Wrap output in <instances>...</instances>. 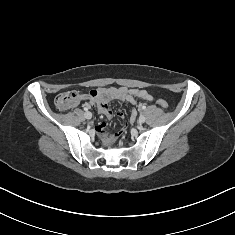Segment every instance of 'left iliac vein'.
<instances>
[{
    "label": "left iliac vein",
    "mask_w": 235,
    "mask_h": 235,
    "mask_svg": "<svg viewBox=\"0 0 235 235\" xmlns=\"http://www.w3.org/2000/svg\"><path fill=\"white\" fill-rule=\"evenodd\" d=\"M145 120H146L145 116H144V115H140V117H139V119H138V122H139L140 124H142V123L145 122Z\"/></svg>",
    "instance_id": "1"
}]
</instances>
